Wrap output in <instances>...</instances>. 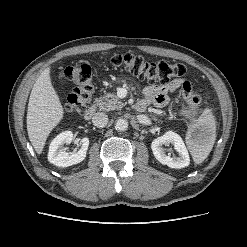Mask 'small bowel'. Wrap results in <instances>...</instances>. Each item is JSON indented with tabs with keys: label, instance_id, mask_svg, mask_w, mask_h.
Masks as SVG:
<instances>
[{
	"label": "small bowel",
	"instance_id": "small-bowel-1",
	"mask_svg": "<svg viewBox=\"0 0 247 247\" xmlns=\"http://www.w3.org/2000/svg\"><path fill=\"white\" fill-rule=\"evenodd\" d=\"M183 80L177 79L161 85H149L144 88L145 99L142 101L148 105L157 107L166 106L169 102L168 93L175 91Z\"/></svg>",
	"mask_w": 247,
	"mask_h": 247
}]
</instances>
